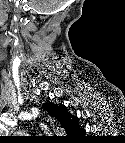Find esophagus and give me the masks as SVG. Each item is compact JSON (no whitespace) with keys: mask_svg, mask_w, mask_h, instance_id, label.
<instances>
[{"mask_svg":"<svg viewBox=\"0 0 125 143\" xmlns=\"http://www.w3.org/2000/svg\"><path fill=\"white\" fill-rule=\"evenodd\" d=\"M49 120H50V122H53V120H52V118H51V117H49Z\"/></svg>","mask_w":125,"mask_h":143,"instance_id":"esophagus-1","label":"esophagus"}]
</instances>
